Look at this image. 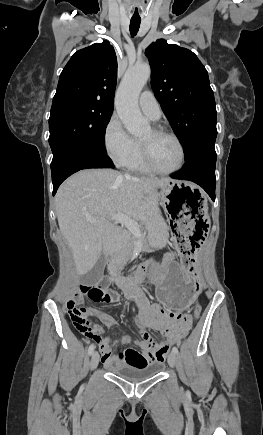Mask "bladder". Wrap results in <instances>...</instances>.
Listing matches in <instances>:
<instances>
[{
    "label": "bladder",
    "mask_w": 263,
    "mask_h": 435,
    "mask_svg": "<svg viewBox=\"0 0 263 435\" xmlns=\"http://www.w3.org/2000/svg\"><path fill=\"white\" fill-rule=\"evenodd\" d=\"M162 368V362L154 361L143 366L117 365L111 367L110 370L120 378L130 381H141L158 375Z\"/></svg>",
    "instance_id": "1"
}]
</instances>
